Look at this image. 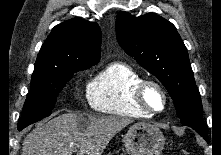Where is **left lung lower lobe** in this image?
I'll list each match as a JSON object with an SVG mask.
<instances>
[{
    "label": "left lung lower lobe",
    "instance_id": "obj_1",
    "mask_svg": "<svg viewBox=\"0 0 221 155\" xmlns=\"http://www.w3.org/2000/svg\"><path fill=\"white\" fill-rule=\"evenodd\" d=\"M190 127H192L194 130H196L206 141H208V136H207L204 128L193 127V126H190Z\"/></svg>",
    "mask_w": 221,
    "mask_h": 155
}]
</instances>
